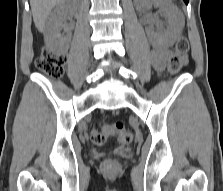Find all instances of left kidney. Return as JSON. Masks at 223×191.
Masks as SVG:
<instances>
[{"label":"left kidney","instance_id":"obj_1","mask_svg":"<svg viewBox=\"0 0 223 191\" xmlns=\"http://www.w3.org/2000/svg\"><path fill=\"white\" fill-rule=\"evenodd\" d=\"M139 11H145L149 7L159 8L166 19V28L159 26L156 31L152 27L147 29L150 41L156 46L169 47L178 38L183 27L181 12L168 0H136Z\"/></svg>","mask_w":223,"mask_h":191}]
</instances>
